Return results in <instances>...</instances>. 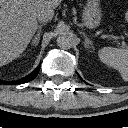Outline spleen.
<instances>
[{"label": "spleen", "instance_id": "spleen-1", "mask_svg": "<svg viewBox=\"0 0 128 128\" xmlns=\"http://www.w3.org/2000/svg\"><path fill=\"white\" fill-rule=\"evenodd\" d=\"M102 63L117 69L124 81H128V49L104 47L98 51Z\"/></svg>", "mask_w": 128, "mask_h": 128}]
</instances>
